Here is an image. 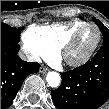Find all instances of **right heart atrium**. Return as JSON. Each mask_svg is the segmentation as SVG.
I'll return each mask as SVG.
<instances>
[{"instance_id":"obj_1","label":"right heart atrium","mask_w":109,"mask_h":109,"mask_svg":"<svg viewBox=\"0 0 109 109\" xmlns=\"http://www.w3.org/2000/svg\"><path fill=\"white\" fill-rule=\"evenodd\" d=\"M23 49L27 55L35 61L44 58H52L54 54L53 48L43 40L22 36Z\"/></svg>"}]
</instances>
